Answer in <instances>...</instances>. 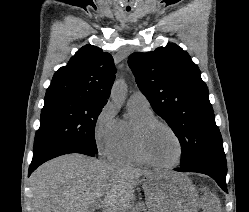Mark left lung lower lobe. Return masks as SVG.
<instances>
[{"instance_id":"obj_1","label":"left lung lower lobe","mask_w":249,"mask_h":212,"mask_svg":"<svg viewBox=\"0 0 249 212\" xmlns=\"http://www.w3.org/2000/svg\"><path fill=\"white\" fill-rule=\"evenodd\" d=\"M180 172H197L206 174L212 177L217 184L227 192L226 174H227V162L224 150L219 152L208 153L198 160L194 161L188 166H181L175 168Z\"/></svg>"}]
</instances>
